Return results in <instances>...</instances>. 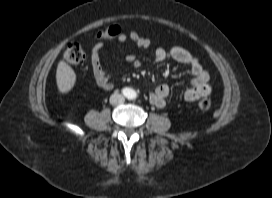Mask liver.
I'll return each mask as SVG.
<instances>
[{
	"label": "liver",
	"mask_w": 272,
	"mask_h": 198,
	"mask_svg": "<svg viewBox=\"0 0 272 198\" xmlns=\"http://www.w3.org/2000/svg\"><path fill=\"white\" fill-rule=\"evenodd\" d=\"M56 82L61 93H68L76 83L74 70L64 61H60L56 71Z\"/></svg>",
	"instance_id": "1"
}]
</instances>
